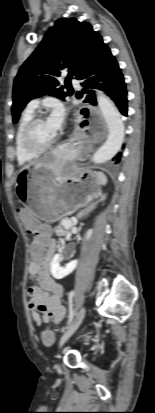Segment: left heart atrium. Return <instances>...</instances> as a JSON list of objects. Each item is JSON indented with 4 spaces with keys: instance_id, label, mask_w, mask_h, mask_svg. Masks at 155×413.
<instances>
[{
    "instance_id": "left-heart-atrium-1",
    "label": "left heart atrium",
    "mask_w": 155,
    "mask_h": 413,
    "mask_svg": "<svg viewBox=\"0 0 155 413\" xmlns=\"http://www.w3.org/2000/svg\"><path fill=\"white\" fill-rule=\"evenodd\" d=\"M65 121V111L60 104H55L52 107L51 113L47 119V124L50 130L56 135L63 127Z\"/></svg>"
}]
</instances>
